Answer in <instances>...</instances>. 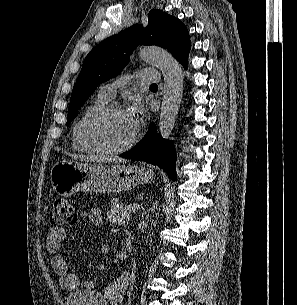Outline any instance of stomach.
Here are the masks:
<instances>
[{"mask_svg": "<svg viewBox=\"0 0 297 305\" xmlns=\"http://www.w3.org/2000/svg\"><path fill=\"white\" fill-rule=\"evenodd\" d=\"M53 190L62 197L78 191L114 193L128 191L154 179L152 169L138 165L88 164L61 160L50 174Z\"/></svg>", "mask_w": 297, "mask_h": 305, "instance_id": "0dacf381", "label": "stomach"}]
</instances>
